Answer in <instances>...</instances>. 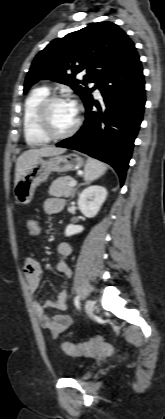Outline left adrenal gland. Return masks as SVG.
<instances>
[{
  "mask_svg": "<svg viewBox=\"0 0 165 419\" xmlns=\"http://www.w3.org/2000/svg\"><path fill=\"white\" fill-rule=\"evenodd\" d=\"M81 185H83V184L78 185V186H77V187L73 190V193H72V198L74 197V195H75V193H76L77 189H78Z\"/></svg>",
  "mask_w": 165,
  "mask_h": 419,
  "instance_id": "a2214340",
  "label": "left adrenal gland"
}]
</instances>
